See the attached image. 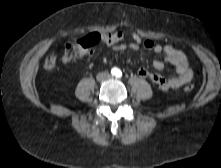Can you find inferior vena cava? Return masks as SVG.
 Listing matches in <instances>:
<instances>
[{"label":"inferior vena cava","instance_id":"1","mask_svg":"<svg viewBox=\"0 0 221 168\" xmlns=\"http://www.w3.org/2000/svg\"><path fill=\"white\" fill-rule=\"evenodd\" d=\"M107 77H109V74L107 72L99 73L97 75L98 80H102V79L107 78Z\"/></svg>","mask_w":221,"mask_h":168}]
</instances>
